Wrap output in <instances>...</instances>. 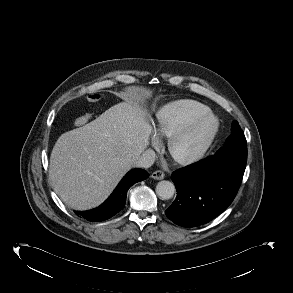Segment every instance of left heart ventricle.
Wrapping results in <instances>:
<instances>
[{
    "label": "left heart ventricle",
    "mask_w": 293,
    "mask_h": 293,
    "mask_svg": "<svg viewBox=\"0 0 293 293\" xmlns=\"http://www.w3.org/2000/svg\"><path fill=\"white\" fill-rule=\"evenodd\" d=\"M207 132V126L201 125L192 131L189 135L183 138L175 148L177 155L188 156L192 154L201 144L205 134Z\"/></svg>",
    "instance_id": "left-heart-ventricle-1"
}]
</instances>
